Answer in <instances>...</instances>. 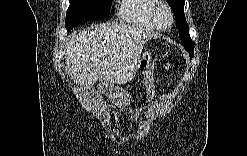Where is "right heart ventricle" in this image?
<instances>
[{
  "instance_id": "obj_1",
  "label": "right heart ventricle",
  "mask_w": 247,
  "mask_h": 156,
  "mask_svg": "<svg viewBox=\"0 0 247 156\" xmlns=\"http://www.w3.org/2000/svg\"><path fill=\"white\" fill-rule=\"evenodd\" d=\"M156 0H125L119 4L118 16L132 25L155 30L158 29L151 17Z\"/></svg>"
}]
</instances>
